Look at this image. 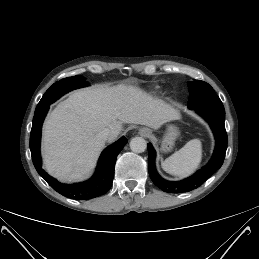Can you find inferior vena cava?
Returning a JSON list of instances; mask_svg holds the SVG:
<instances>
[{
    "mask_svg": "<svg viewBox=\"0 0 259 259\" xmlns=\"http://www.w3.org/2000/svg\"><path fill=\"white\" fill-rule=\"evenodd\" d=\"M110 135H111L110 130H109L108 128H105V129L102 130L100 133H98L97 136H98L100 139H103V140L106 141V140L109 139Z\"/></svg>",
    "mask_w": 259,
    "mask_h": 259,
    "instance_id": "obj_1",
    "label": "inferior vena cava"
}]
</instances>
